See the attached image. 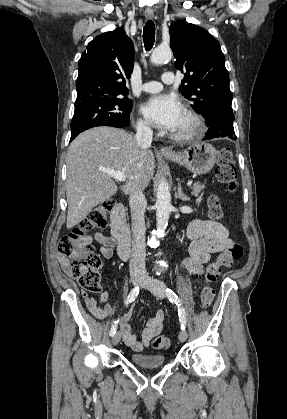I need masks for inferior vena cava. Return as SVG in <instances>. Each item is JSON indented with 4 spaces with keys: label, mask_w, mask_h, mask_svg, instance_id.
<instances>
[{
    "label": "inferior vena cava",
    "mask_w": 287,
    "mask_h": 419,
    "mask_svg": "<svg viewBox=\"0 0 287 419\" xmlns=\"http://www.w3.org/2000/svg\"><path fill=\"white\" fill-rule=\"evenodd\" d=\"M135 140L141 149L148 148L152 143V130L146 125H140L137 128ZM129 205L131 210L132 220V253L130 259V275L131 276H146L145 269V207L146 199L143 190L135 186L132 188L129 195Z\"/></svg>",
    "instance_id": "602c4592"
}]
</instances>
